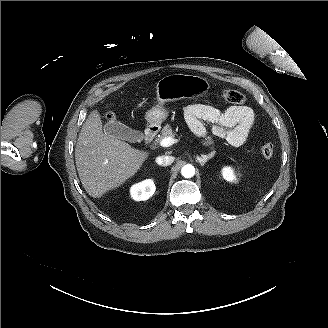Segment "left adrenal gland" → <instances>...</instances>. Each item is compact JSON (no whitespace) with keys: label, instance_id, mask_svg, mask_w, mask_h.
Instances as JSON below:
<instances>
[{"label":"left adrenal gland","instance_id":"a2214340","mask_svg":"<svg viewBox=\"0 0 328 328\" xmlns=\"http://www.w3.org/2000/svg\"><path fill=\"white\" fill-rule=\"evenodd\" d=\"M213 158V154L210 155H201V157L197 156V160L199 161L200 165L203 167L207 161Z\"/></svg>","mask_w":328,"mask_h":328}]
</instances>
